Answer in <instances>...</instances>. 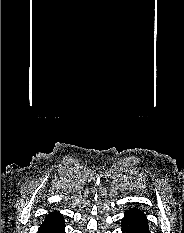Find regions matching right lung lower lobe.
Masks as SVG:
<instances>
[{
	"instance_id": "1",
	"label": "right lung lower lobe",
	"mask_w": 184,
	"mask_h": 233,
	"mask_svg": "<svg viewBox=\"0 0 184 233\" xmlns=\"http://www.w3.org/2000/svg\"><path fill=\"white\" fill-rule=\"evenodd\" d=\"M64 229L63 216L58 212H52L46 216L38 229V233H65Z\"/></svg>"
}]
</instances>
